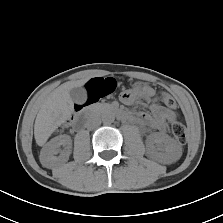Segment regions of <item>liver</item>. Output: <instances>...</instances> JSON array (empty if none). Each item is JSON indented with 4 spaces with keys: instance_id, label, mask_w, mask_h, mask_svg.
<instances>
[{
    "instance_id": "1",
    "label": "liver",
    "mask_w": 223,
    "mask_h": 223,
    "mask_svg": "<svg viewBox=\"0 0 223 223\" xmlns=\"http://www.w3.org/2000/svg\"><path fill=\"white\" fill-rule=\"evenodd\" d=\"M86 81L65 82L44 100L34 125V137L39 146H43L51 134L71 117L74 103L70 90L84 85Z\"/></svg>"
}]
</instances>
